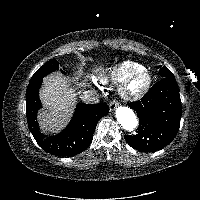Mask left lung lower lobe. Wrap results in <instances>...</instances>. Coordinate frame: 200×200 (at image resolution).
<instances>
[{
	"label": "left lung lower lobe",
	"mask_w": 200,
	"mask_h": 200,
	"mask_svg": "<svg viewBox=\"0 0 200 200\" xmlns=\"http://www.w3.org/2000/svg\"><path fill=\"white\" fill-rule=\"evenodd\" d=\"M129 106L139 117L137 133L124 136L132 148L155 152L173 141L179 130L182 109L175 78L161 79L141 100Z\"/></svg>",
	"instance_id": "1"
}]
</instances>
